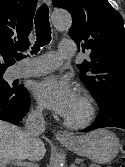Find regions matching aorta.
Returning <instances> with one entry per match:
<instances>
[{
  "label": "aorta",
  "instance_id": "1",
  "mask_svg": "<svg viewBox=\"0 0 125 167\" xmlns=\"http://www.w3.org/2000/svg\"><path fill=\"white\" fill-rule=\"evenodd\" d=\"M52 21L56 29L64 30L71 24V16L67 12H54L52 15ZM63 159L59 158L53 163V167H62Z\"/></svg>",
  "mask_w": 125,
  "mask_h": 167
}]
</instances>
